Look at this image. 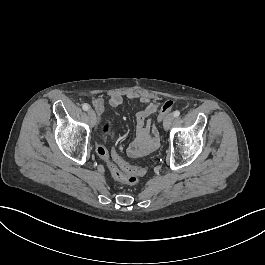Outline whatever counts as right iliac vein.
I'll list each match as a JSON object with an SVG mask.
<instances>
[{
  "label": "right iliac vein",
  "mask_w": 265,
  "mask_h": 265,
  "mask_svg": "<svg viewBox=\"0 0 265 265\" xmlns=\"http://www.w3.org/2000/svg\"><path fill=\"white\" fill-rule=\"evenodd\" d=\"M88 116H89V122L90 124H94L95 123V112L93 109H89L88 110Z\"/></svg>",
  "instance_id": "right-iliac-vein-1"
}]
</instances>
